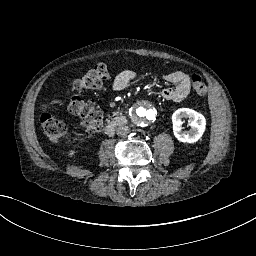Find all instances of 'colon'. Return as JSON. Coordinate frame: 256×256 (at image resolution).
Returning a JSON list of instances; mask_svg holds the SVG:
<instances>
[{
    "label": "colon",
    "instance_id": "1",
    "mask_svg": "<svg viewBox=\"0 0 256 256\" xmlns=\"http://www.w3.org/2000/svg\"><path fill=\"white\" fill-rule=\"evenodd\" d=\"M109 77V67L105 63H98L80 78L74 84L76 91H87L99 88ZM194 94L204 96L207 92V85L204 79L197 73L190 75ZM70 113L80 118V122L74 126L76 135L91 133L100 129L102 125V116L96 110L93 103L81 98H73L68 102ZM41 123L46 136L52 142H64L70 139L69 127L67 123L56 118L50 113H44L41 116Z\"/></svg>",
    "mask_w": 256,
    "mask_h": 256
}]
</instances>
